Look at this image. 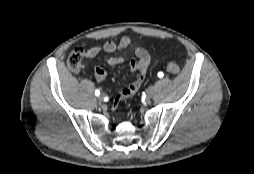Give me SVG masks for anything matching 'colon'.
Masks as SVG:
<instances>
[{
    "label": "colon",
    "instance_id": "5ec220e1",
    "mask_svg": "<svg viewBox=\"0 0 254 174\" xmlns=\"http://www.w3.org/2000/svg\"><path fill=\"white\" fill-rule=\"evenodd\" d=\"M86 57V53L82 48L73 49L67 58V65L70 70L78 71L84 66V60ZM167 70L176 75L180 72V67L175 62H169L167 64Z\"/></svg>",
    "mask_w": 254,
    "mask_h": 174
}]
</instances>
